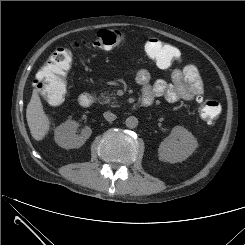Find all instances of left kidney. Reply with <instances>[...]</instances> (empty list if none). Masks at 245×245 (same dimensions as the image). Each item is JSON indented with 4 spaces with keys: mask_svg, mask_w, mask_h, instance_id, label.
Returning <instances> with one entry per match:
<instances>
[{
    "mask_svg": "<svg viewBox=\"0 0 245 245\" xmlns=\"http://www.w3.org/2000/svg\"><path fill=\"white\" fill-rule=\"evenodd\" d=\"M197 146V140L191 132L184 127L175 126L159 146V159L169 163L182 162L192 155Z\"/></svg>",
    "mask_w": 245,
    "mask_h": 245,
    "instance_id": "left-kidney-1",
    "label": "left kidney"
}]
</instances>
